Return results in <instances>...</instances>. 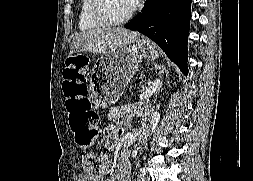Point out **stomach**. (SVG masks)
<instances>
[{
	"mask_svg": "<svg viewBox=\"0 0 253 181\" xmlns=\"http://www.w3.org/2000/svg\"><path fill=\"white\" fill-rule=\"evenodd\" d=\"M139 53L151 61L159 57V51L148 39L139 38L133 46H120L96 61L92 89L97 106L110 107L121 97L128 82L138 70Z\"/></svg>",
	"mask_w": 253,
	"mask_h": 181,
	"instance_id": "1",
	"label": "stomach"
}]
</instances>
